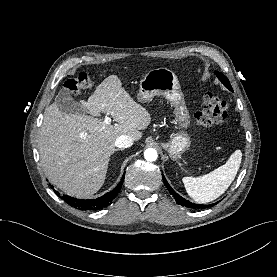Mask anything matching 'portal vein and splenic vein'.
<instances>
[{
    "instance_id": "18ae733b",
    "label": "portal vein and splenic vein",
    "mask_w": 277,
    "mask_h": 277,
    "mask_svg": "<svg viewBox=\"0 0 277 277\" xmlns=\"http://www.w3.org/2000/svg\"><path fill=\"white\" fill-rule=\"evenodd\" d=\"M104 122H105L106 124H110V123H111V118L107 116V117L105 118Z\"/></svg>"
}]
</instances>
